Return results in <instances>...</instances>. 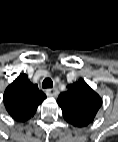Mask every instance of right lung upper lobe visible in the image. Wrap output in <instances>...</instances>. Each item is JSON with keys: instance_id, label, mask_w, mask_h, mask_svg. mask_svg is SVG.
<instances>
[{"instance_id": "cb5924a9", "label": "right lung upper lobe", "mask_w": 118, "mask_h": 142, "mask_svg": "<svg viewBox=\"0 0 118 142\" xmlns=\"http://www.w3.org/2000/svg\"><path fill=\"white\" fill-rule=\"evenodd\" d=\"M46 95L28 79L20 74L5 90L3 101L6 111L19 122H24L34 116L37 107Z\"/></svg>"}]
</instances>
